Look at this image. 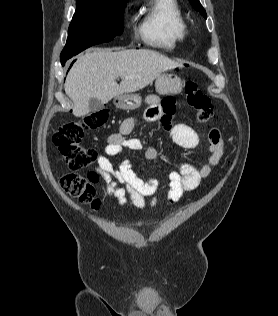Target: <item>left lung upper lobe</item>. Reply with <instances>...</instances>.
Instances as JSON below:
<instances>
[{
  "mask_svg": "<svg viewBox=\"0 0 278 316\" xmlns=\"http://www.w3.org/2000/svg\"><path fill=\"white\" fill-rule=\"evenodd\" d=\"M190 3L194 7L195 10L199 11L202 14V16L205 19L207 18V14L204 8L202 7V5L200 4L199 0H190Z\"/></svg>",
  "mask_w": 278,
  "mask_h": 316,
  "instance_id": "1",
  "label": "left lung upper lobe"
}]
</instances>
